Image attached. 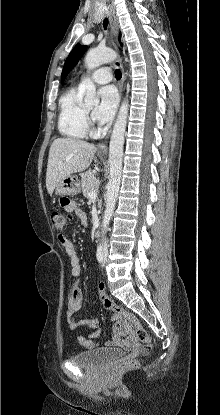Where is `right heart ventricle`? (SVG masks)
Returning <instances> with one entry per match:
<instances>
[{"label": "right heart ventricle", "instance_id": "1", "mask_svg": "<svg viewBox=\"0 0 220 415\" xmlns=\"http://www.w3.org/2000/svg\"><path fill=\"white\" fill-rule=\"evenodd\" d=\"M57 127L63 136L72 139H83L88 134L87 117L79 89L70 88L61 96Z\"/></svg>", "mask_w": 220, "mask_h": 415}]
</instances>
